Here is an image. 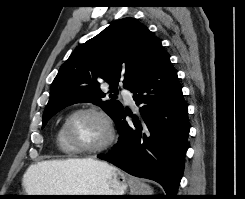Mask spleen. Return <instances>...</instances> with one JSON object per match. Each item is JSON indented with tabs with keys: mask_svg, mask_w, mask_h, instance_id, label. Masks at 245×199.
Masks as SVG:
<instances>
[{
	"mask_svg": "<svg viewBox=\"0 0 245 199\" xmlns=\"http://www.w3.org/2000/svg\"><path fill=\"white\" fill-rule=\"evenodd\" d=\"M130 195H153V189L138 178L129 176Z\"/></svg>",
	"mask_w": 245,
	"mask_h": 199,
	"instance_id": "obj_1",
	"label": "spleen"
}]
</instances>
